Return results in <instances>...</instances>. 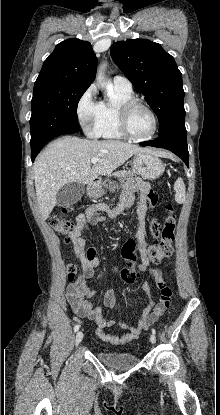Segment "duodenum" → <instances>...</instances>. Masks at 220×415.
<instances>
[{"instance_id": "410a0bca", "label": "duodenum", "mask_w": 220, "mask_h": 415, "mask_svg": "<svg viewBox=\"0 0 220 415\" xmlns=\"http://www.w3.org/2000/svg\"><path fill=\"white\" fill-rule=\"evenodd\" d=\"M94 184H95V183H94V182H92V183L90 184V187H93V186H94Z\"/></svg>"}]
</instances>
